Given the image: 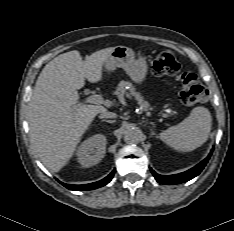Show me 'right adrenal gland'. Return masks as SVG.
<instances>
[{
  "label": "right adrenal gland",
  "mask_w": 234,
  "mask_h": 231,
  "mask_svg": "<svg viewBox=\"0 0 234 231\" xmlns=\"http://www.w3.org/2000/svg\"><path fill=\"white\" fill-rule=\"evenodd\" d=\"M102 122H108V123H113L114 122V120H106V119H103V120H101Z\"/></svg>",
  "instance_id": "2a0ac1e0"
}]
</instances>
